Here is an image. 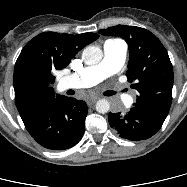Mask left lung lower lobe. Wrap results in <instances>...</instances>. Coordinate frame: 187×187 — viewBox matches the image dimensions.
I'll return each mask as SVG.
<instances>
[{"mask_svg":"<svg viewBox=\"0 0 187 187\" xmlns=\"http://www.w3.org/2000/svg\"><path fill=\"white\" fill-rule=\"evenodd\" d=\"M108 120L110 126L120 137L131 141L150 138L159 131L164 122L135 107L124 115L109 113Z\"/></svg>","mask_w":187,"mask_h":187,"instance_id":"left-lung-lower-lobe-1","label":"left lung lower lobe"}]
</instances>
